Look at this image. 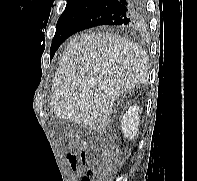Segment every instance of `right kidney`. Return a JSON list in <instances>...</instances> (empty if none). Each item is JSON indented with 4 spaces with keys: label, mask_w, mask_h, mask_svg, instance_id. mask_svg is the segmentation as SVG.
I'll return each mask as SVG.
<instances>
[{
    "label": "right kidney",
    "mask_w": 197,
    "mask_h": 181,
    "mask_svg": "<svg viewBox=\"0 0 197 181\" xmlns=\"http://www.w3.org/2000/svg\"><path fill=\"white\" fill-rule=\"evenodd\" d=\"M140 109L137 105L131 106L128 111L122 116L121 128L124 136L128 139H134L138 132L140 122Z\"/></svg>",
    "instance_id": "1"
}]
</instances>
